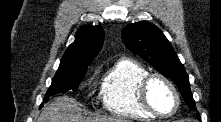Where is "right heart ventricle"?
Wrapping results in <instances>:
<instances>
[{"mask_svg": "<svg viewBox=\"0 0 221 122\" xmlns=\"http://www.w3.org/2000/svg\"><path fill=\"white\" fill-rule=\"evenodd\" d=\"M147 74V69L133 60L116 62L102 80L101 99L104 108L120 117L153 119L154 116L142 107L137 94L138 84Z\"/></svg>", "mask_w": 221, "mask_h": 122, "instance_id": "e07e8e85", "label": "right heart ventricle"}]
</instances>
